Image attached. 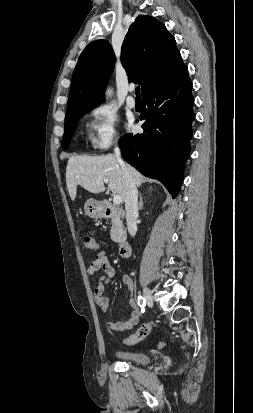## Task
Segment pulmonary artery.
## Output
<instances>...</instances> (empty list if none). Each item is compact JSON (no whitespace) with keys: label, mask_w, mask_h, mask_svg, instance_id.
<instances>
[{"label":"pulmonary artery","mask_w":253,"mask_h":413,"mask_svg":"<svg viewBox=\"0 0 253 413\" xmlns=\"http://www.w3.org/2000/svg\"><path fill=\"white\" fill-rule=\"evenodd\" d=\"M133 92H134V88L130 87L129 88V95L126 99V104H127L128 108H130V109H133L136 106V101H135L134 97L132 96Z\"/></svg>","instance_id":"pulmonary-artery-1"}]
</instances>
